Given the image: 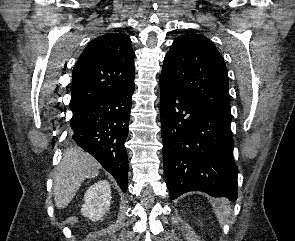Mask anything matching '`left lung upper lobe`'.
I'll list each match as a JSON object with an SVG mask.
<instances>
[{
	"label": "left lung upper lobe",
	"mask_w": 295,
	"mask_h": 241,
	"mask_svg": "<svg viewBox=\"0 0 295 241\" xmlns=\"http://www.w3.org/2000/svg\"><path fill=\"white\" fill-rule=\"evenodd\" d=\"M160 77L231 119L227 69L222 55L206 37L192 34L175 38Z\"/></svg>",
	"instance_id": "5c2ea615"
}]
</instances>
